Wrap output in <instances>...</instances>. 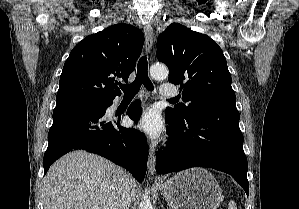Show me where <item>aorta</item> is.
Wrapping results in <instances>:
<instances>
[{"mask_svg":"<svg viewBox=\"0 0 299 209\" xmlns=\"http://www.w3.org/2000/svg\"><path fill=\"white\" fill-rule=\"evenodd\" d=\"M150 75L156 80H163L168 76V69L163 64H155L150 68ZM139 209H153L146 190L142 197V202L140 203Z\"/></svg>","mask_w":299,"mask_h":209,"instance_id":"obj_1","label":"aorta"}]
</instances>
